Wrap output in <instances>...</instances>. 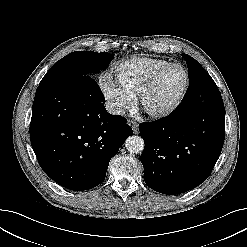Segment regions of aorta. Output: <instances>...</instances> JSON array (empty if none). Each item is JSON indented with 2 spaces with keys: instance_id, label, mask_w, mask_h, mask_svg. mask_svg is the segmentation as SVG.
Masks as SVG:
<instances>
[{
  "instance_id": "762f6f07",
  "label": "aorta",
  "mask_w": 247,
  "mask_h": 247,
  "mask_svg": "<svg viewBox=\"0 0 247 247\" xmlns=\"http://www.w3.org/2000/svg\"><path fill=\"white\" fill-rule=\"evenodd\" d=\"M125 147L129 152L138 154L144 149V141L140 136L132 135L126 139Z\"/></svg>"
}]
</instances>
